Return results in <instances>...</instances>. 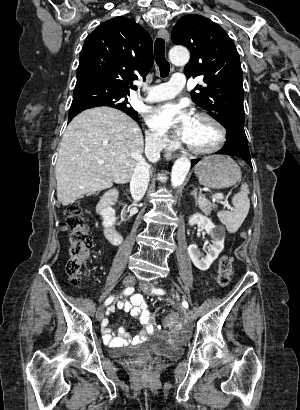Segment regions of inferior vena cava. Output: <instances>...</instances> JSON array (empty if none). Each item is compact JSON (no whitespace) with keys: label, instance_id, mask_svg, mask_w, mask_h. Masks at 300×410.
<instances>
[{"label":"inferior vena cava","instance_id":"602c4592","mask_svg":"<svg viewBox=\"0 0 300 410\" xmlns=\"http://www.w3.org/2000/svg\"><path fill=\"white\" fill-rule=\"evenodd\" d=\"M163 145L164 139L160 135H153L146 139L145 153L150 161L156 162L159 160ZM149 169V164L144 160L139 161L134 169L130 181V192L134 203L139 202L145 195L150 181Z\"/></svg>","mask_w":300,"mask_h":410}]
</instances>
